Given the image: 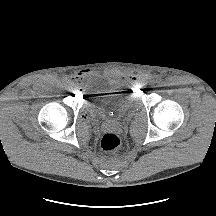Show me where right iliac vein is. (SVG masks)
Here are the masks:
<instances>
[{"mask_svg":"<svg viewBox=\"0 0 216 216\" xmlns=\"http://www.w3.org/2000/svg\"><path fill=\"white\" fill-rule=\"evenodd\" d=\"M72 92H77V87H73Z\"/></svg>","mask_w":216,"mask_h":216,"instance_id":"obj_1","label":"right iliac vein"}]
</instances>
